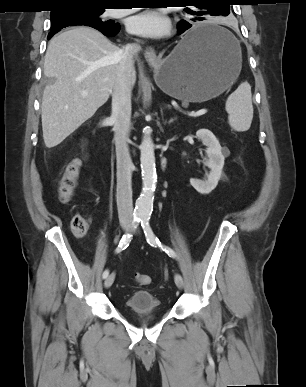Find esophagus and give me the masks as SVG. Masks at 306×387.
Returning a JSON list of instances; mask_svg holds the SVG:
<instances>
[{
	"label": "esophagus",
	"instance_id": "34e87169",
	"mask_svg": "<svg viewBox=\"0 0 306 387\" xmlns=\"http://www.w3.org/2000/svg\"><path fill=\"white\" fill-rule=\"evenodd\" d=\"M144 57L149 65H155L159 62V57L157 56L154 48L151 46L146 47L144 50Z\"/></svg>",
	"mask_w": 306,
	"mask_h": 387
}]
</instances>
